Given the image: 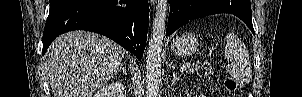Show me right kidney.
<instances>
[{
	"instance_id": "1",
	"label": "right kidney",
	"mask_w": 302,
	"mask_h": 97,
	"mask_svg": "<svg viewBox=\"0 0 302 97\" xmlns=\"http://www.w3.org/2000/svg\"><path fill=\"white\" fill-rule=\"evenodd\" d=\"M110 94H117L120 97H126V91L123 84L120 81L113 82L109 86L98 91L94 97H109Z\"/></svg>"
}]
</instances>
